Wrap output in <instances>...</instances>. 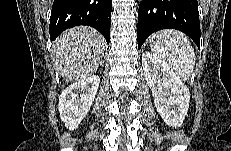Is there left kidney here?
I'll list each match as a JSON object with an SVG mask.
<instances>
[{
  "instance_id": "1",
  "label": "left kidney",
  "mask_w": 231,
  "mask_h": 151,
  "mask_svg": "<svg viewBox=\"0 0 231 151\" xmlns=\"http://www.w3.org/2000/svg\"><path fill=\"white\" fill-rule=\"evenodd\" d=\"M142 65L157 112L168 126H181L189 109V89L165 62L152 53L142 54Z\"/></svg>"
}]
</instances>
